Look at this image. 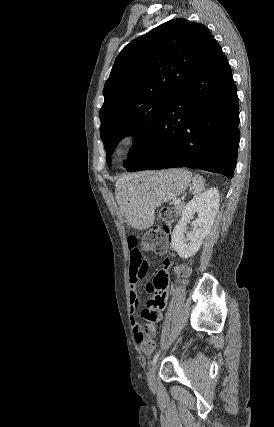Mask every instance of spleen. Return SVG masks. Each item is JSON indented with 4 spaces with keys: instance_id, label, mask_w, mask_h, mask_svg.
I'll use <instances>...</instances> for the list:
<instances>
[{
    "instance_id": "3e777b00",
    "label": "spleen",
    "mask_w": 274,
    "mask_h": 427,
    "mask_svg": "<svg viewBox=\"0 0 274 427\" xmlns=\"http://www.w3.org/2000/svg\"><path fill=\"white\" fill-rule=\"evenodd\" d=\"M204 182L205 180H203L202 176H199V174H197V176H194V178H192V188H193V194H195V196H199V194L203 192Z\"/></svg>"
}]
</instances>
